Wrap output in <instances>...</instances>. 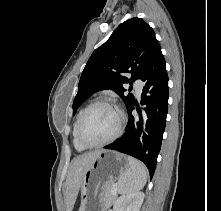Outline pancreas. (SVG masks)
<instances>
[{
    "instance_id": "cf45deb5",
    "label": "pancreas",
    "mask_w": 221,
    "mask_h": 211,
    "mask_svg": "<svg viewBox=\"0 0 221 211\" xmlns=\"http://www.w3.org/2000/svg\"><path fill=\"white\" fill-rule=\"evenodd\" d=\"M116 185L114 183H110L105 186L103 195H102V203L105 207L110 206L113 204L114 200L116 199V193H112V189Z\"/></svg>"
}]
</instances>
